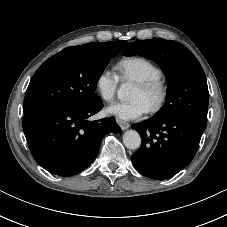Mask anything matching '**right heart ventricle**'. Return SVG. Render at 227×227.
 Instances as JSON below:
<instances>
[{
    "mask_svg": "<svg viewBox=\"0 0 227 227\" xmlns=\"http://www.w3.org/2000/svg\"><path fill=\"white\" fill-rule=\"evenodd\" d=\"M118 76L124 81H141L161 76V69L145 57L133 56L121 59L116 65Z\"/></svg>",
    "mask_w": 227,
    "mask_h": 227,
    "instance_id": "1",
    "label": "right heart ventricle"
}]
</instances>
